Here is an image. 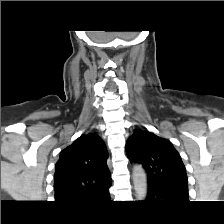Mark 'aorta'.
I'll return each instance as SVG.
<instances>
[{"label": "aorta", "mask_w": 224, "mask_h": 224, "mask_svg": "<svg viewBox=\"0 0 224 224\" xmlns=\"http://www.w3.org/2000/svg\"><path fill=\"white\" fill-rule=\"evenodd\" d=\"M132 180L135 195L138 199H144L147 196V176L141 165H135L132 169Z\"/></svg>", "instance_id": "obj_1"}]
</instances>
